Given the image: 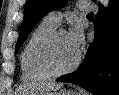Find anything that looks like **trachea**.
<instances>
[{"instance_id":"trachea-1","label":"trachea","mask_w":119,"mask_h":95,"mask_svg":"<svg viewBox=\"0 0 119 95\" xmlns=\"http://www.w3.org/2000/svg\"><path fill=\"white\" fill-rule=\"evenodd\" d=\"M87 16H94V14L93 13H88Z\"/></svg>"}]
</instances>
